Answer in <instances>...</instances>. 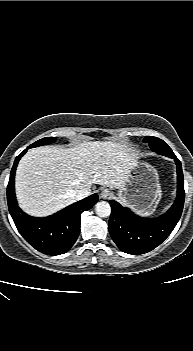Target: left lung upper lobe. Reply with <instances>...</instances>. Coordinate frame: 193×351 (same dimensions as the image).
Instances as JSON below:
<instances>
[{"mask_svg":"<svg viewBox=\"0 0 193 351\" xmlns=\"http://www.w3.org/2000/svg\"><path fill=\"white\" fill-rule=\"evenodd\" d=\"M143 141L147 142L151 150L158 154H162L167 157L174 155L171 148L163 140L157 137L146 136Z\"/></svg>","mask_w":193,"mask_h":351,"instance_id":"5c2ea615","label":"left lung upper lobe"}]
</instances>
